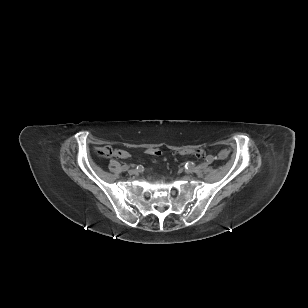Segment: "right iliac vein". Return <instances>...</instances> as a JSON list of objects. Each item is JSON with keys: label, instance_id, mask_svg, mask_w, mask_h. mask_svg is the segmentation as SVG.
<instances>
[{"label": "right iliac vein", "instance_id": "right-iliac-vein-1", "mask_svg": "<svg viewBox=\"0 0 308 308\" xmlns=\"http://www.w3.org/2000/svg\"><path fill=\"white\" fill-rule=\"evenodd\" d=\"M136 173H137V171L135 169H130L129 170V174H131V175L136 174Z\"/></svg>", "mask_w": 308, "mask_h": 308}]
</instances>
